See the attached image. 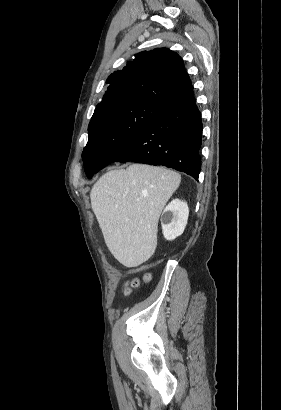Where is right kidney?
<instances>
[{"instance_id": "right-kidney-1", "label": "right kidney", "mask_w": 281, "mask_h": 410, "mask_svg": "<svg viewBox=\"0 0 281 410\" xmlns=\"http://www.w3.org/2000/svg\"><path fill=\"white\" fill-rule=\"evenodd\" d=\"M189 208L185 201L175 199L164 209L161 217L162 232L166 240H174L186 227Z\"/></svg>"}]
</instances>
